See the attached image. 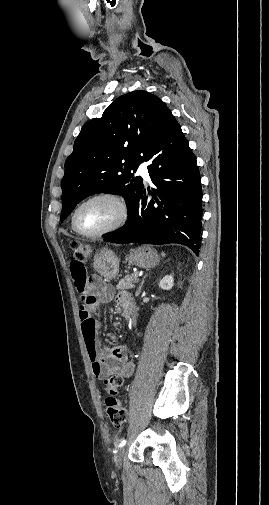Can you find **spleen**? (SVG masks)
Segmentation results:
<instances>
[{
  "mask_svg": "<svg viewBox=\"0 0 269 505\" xmlns=\"http://www.w3.org/2000/svg\"><path fill=\"white\" fill-rule=\"evenodd\" d=\"M161 255H162L163 257H165V253H164V252H162V253H161Z\"/></svg>",
  "mask_w": 269,
  "mask_h": 505,
  "instance_id": "spleen-1",
  "label": "spleen"
}]
</instances>
